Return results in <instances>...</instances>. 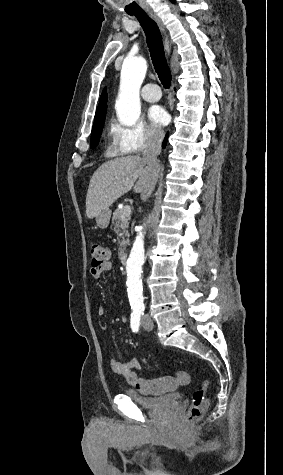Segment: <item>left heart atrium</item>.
I'll return each instance as SVG.
<instances>
[{
  "instance_id": "39dd6f15",
  "label": "left heart atrium",
  "mask_w": 283,
  "mask_h": 475,
  "mask_svg": "<svg viewBox=\"0 0 283 475\" xmlns=\"http://www.w3.org/2000/svg\"><path fill=\"white\" fill-rule=\"evenodd\" d=\"M149 120L156 127L165 126L168 123V113L160 106H154L150 108L148 112Z\"/></svg>"
}]
</instances>
